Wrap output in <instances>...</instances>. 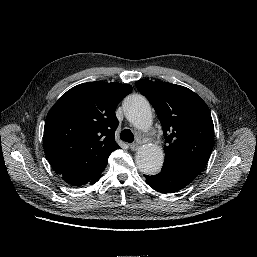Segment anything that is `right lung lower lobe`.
I'll list each match as a JSON object with an SVG mask.
<instances>
[{
    "label": "right lung lower lobe",
    "instance_id": "obj_1",
    "mask_svg": "<svg viewBox=\"0 0 257 257\" xmlns=\"http://www.w3.org/2000/svg\"><path fill=\"white\" fill-rule=\"evenodd\" d=\"M100 177H101V175H99L98 177L94 178L92 181H90V184H94L95 182H97Z\"/></svg>",
    "mask_w": 257,
    "mask_h": 257
}]
</instances>
